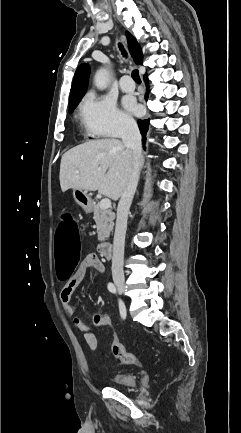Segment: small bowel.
Instances as JSON below:
<instances>
[{
    "label": "small bowel",
    "mask_w": 241,
    "mask_h": 433,
    "mask_svg": "<svg viewBox=\"0 0 241 433\" xmlns=\"http://www.w3.org/2000/svg\"><path fill=\"white\" fill-rule=\"evenodd\" d=\"M95 269L99 273H105V266L100 261L96 254H88L84 257V259L78 265L74 274L70 277V279L63 286L60 293V301L63 306V309L66 314L70 316H74L75 309L72 304V295L76 288L80 285V283L85 278L87 272L90 269ZM102 318L99 320L100 327L110 326L111 318L107 314H101ZM74 326L83 333L84 340L88 347L92 350H96L98 348V339L90 326H88L81 318L73 317ZM117 338L114 336L113 342L116 341Z\"/></svg>",
    "instance_id": "obj_1"
}]
</instances>
